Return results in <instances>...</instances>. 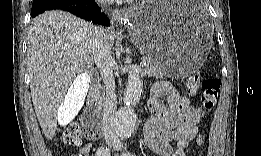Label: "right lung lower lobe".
Wrapping results in <instances>:
<instances>
[{
	"mask_svg": "<svg viewBox=\"0 0 261 156\" xmlns=\"http://www.w3.org/2000/svg\"><path fill=\"white\" fill-rule=\"evenodd\" d=\"M55 9L71 12L83 19L104 26L110 25L107 16L101 14V9L94 0H44L33 2L31 15L35 17L46 10Z\"/></svg>",
	"mask_w": 261,
	"mask_h": 156,
	"instance_id": "1",
	"label": "right lung lower lobe"
}]
</instances>
